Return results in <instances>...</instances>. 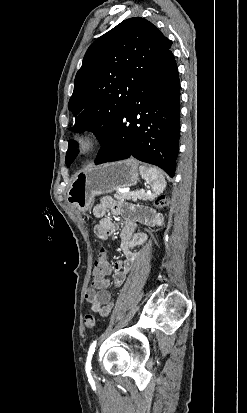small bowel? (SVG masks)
<instances>
[{
    "label": "small bowel",
    "instance_id": "c3829d8e",
    "mask_svg": "<svg viewBox=\"0 0 247 413\" xmlns=\"http://www.w3.org/2000/svg\"><path fill=\"white\" fill-rule=\"evenodd\" d=\"M107 211L114 215H123L126 222L121 230V251L123 259L109 263V272L113 273V282L116 289L120 288L127 274L136 266L139 254L132 249L147 241V235L143 232H135L139 224L156 226L161 222L160 216L152 209L134 205H122L109 196L101 198L93 208V215L100 219L95 227L99 237H107L115 230V224L105 218ZM109 273V274H110ZM92 286L85 292V300L91 304V310L102 317H107L113 310L114 302L108 291L110 282L107 277H92Z\"/></svg>",
    "mask_w": 247,
    "mask_h": 413
}]
</instances>
